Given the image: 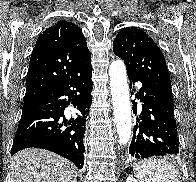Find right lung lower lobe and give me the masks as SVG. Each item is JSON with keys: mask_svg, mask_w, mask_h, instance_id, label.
Here are the masks:
<instances>
[{"mask_svg": "<svg viewBox=\"0 0 196 182\" xmlns=\"http://www.w3.org/2000/svg\"><path fill=\"white\" fill-rule=\"evenodd\" d=\"M90 62L78 68L55 87L24 107L11 149L12 155L29 148H42L71 160L79 169L84 164L85 122L92 96ZM70 104L76 118L65 119Z\"/></svg>", "mask_w": 196, "mask_h": 182, "instance_id": "right-lung-lower-lobe-1", "label": "right lung lower lobe"}]
</instances>
